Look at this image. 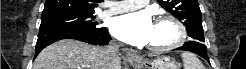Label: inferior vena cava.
Returning a JSON list of instances; mask_svg holds the SVG:
<instances>
[{"mask_svg":"<svg viewBox=\"0 0 246 69\" xmlns=\"http://www.w3.org/2000/svg\"><path fill=\"white\" fill-rule=\"evenodd\" d=\"M109 51V59L112 63H117L119 61V57L117 55L118 45L112 43L109 47H107Z\"/></svg>","mask_w":246,"mask_h":69,"instance_id":"602c4592","label":"inferior vena cava"}]
</instances>
